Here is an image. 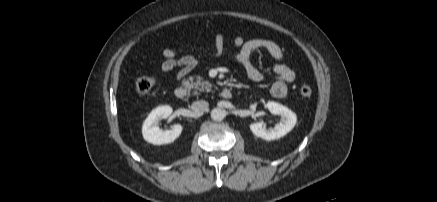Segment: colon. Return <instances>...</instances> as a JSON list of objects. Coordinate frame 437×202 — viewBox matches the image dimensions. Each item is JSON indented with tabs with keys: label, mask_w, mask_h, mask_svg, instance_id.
I'll return each mask as SVG.
<instances>
[{
	"label": "colon",
	"mask_w": 437,
	"mask_h": 202,
	"mask_svg": "<svg viewBox=\"0 0 437 202\" xmlns=\"http://www.w3.org/2000/svg\"><path fill=\"white\" fill-rule=\"evenodd\" d=\"M154 85L155 80L151 76L141 75L135 79L136 90L142 95L148 94L153 89ZM299 92L303 98H309L312 94V88L309 85L304 84L300 87Z\"/></svg>",
	"instance_id": "1"
}]
</instances>
